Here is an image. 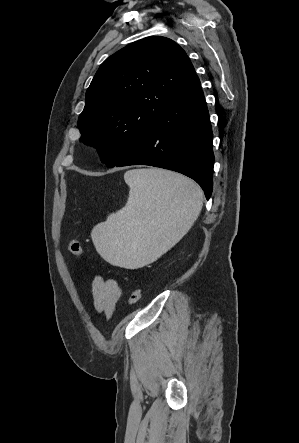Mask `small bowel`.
Instances as JSON below:
<instances>
[{
    "label": "small bowel",
    "instance_id": "obj_1",
    "mask_svg": "<svg viewBox=\"0 0 299 443\" xmlns=\"http://www.w3.org/2000/svg\"><path fill=\"white\" fill-rule=\"evenodd\" d=\"M93 305L95 310L110 318L120 300L122 288L119 282L113 278H104L95 275L91 283Z\"/></svg>",
    "mask_w": 299,
    "mask_h": 443
}]
</instances>
